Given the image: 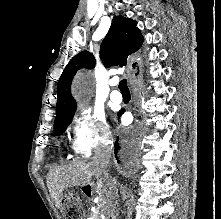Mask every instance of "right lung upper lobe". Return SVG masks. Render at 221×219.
<instances>
[{
	"instance_id": "right-lung-upper-lobe-1",
	"label": "right lung upper lobe",
	"mask_w": 221,
	"mask_h": 219,
	"mask_svg": "<svg viewBox=\"0 0 221 219\" xmlns=\"http://www.w3.org/2000/svg\"><path fill=\"white\" fill-rule=\"evenodd\" d=\"M136 24V21L123 16L113 18L111 27L100 48L101 60L105 67L125 66L130 55L141 47L144 39ZM135 64L133 63L132 66ZM94 66L95 58L88 51H82L70 60L57 86L56 118L76 108V102L71 95V82L76 72L81 68L91 69Z\"/></svg>"
}]
</instances>
